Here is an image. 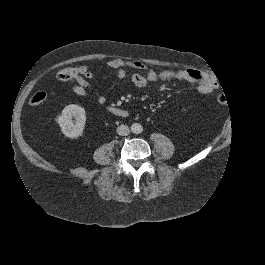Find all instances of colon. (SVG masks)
Returning <instances> with one entry per match:
<instances>
[{
	"mask_svg": "<svg viewBox=\"0 0 265 265\" xmlns=\"http://www.w3.org/2000/svg\"><path fill=\"white\" fill-rule=\"evenodd\" d=\"M81 72L80 67H75V68H65L60 70L57 73V78L61 81L73 79L77 75H79ZM46 100V93L44 91H38L35 94H33L30 98V104L37 106L42 104ZM217 100L220 104H224L226 102V97L224 94H220L217 97Z\"/></svg>",
	"mask_w": 265,
	"mask_h": 265,
	"instance_id": "1",
	"label": "colon"
}]
</instances>
